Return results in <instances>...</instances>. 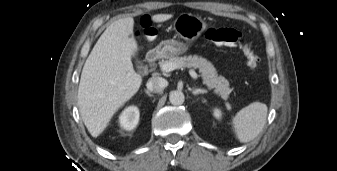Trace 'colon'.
Here are the masks:
<instances>
[{
    "instance_id": "colon-1",
    "label": "colon",
    "mask_w": 337,
    "mask_h": 171,
    "mask_svg": "<svg viewBox=\"0 0 337 171\" xmlns=\"http://www.w3.org/2000/svg\"><path fill=\"white\" fill-rule=\"evenodd\" d=\"M138 34L142 41H151L154 38L152 22L149 17L143 16L140 20ZM206 38L216 45L234 46L240 45L243 53L252 68H256L260 62L259 57L252 47L245 43L244 35L237 29L230 27H214L206 32Z\"/></svg>"
}]
</instances>
